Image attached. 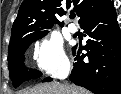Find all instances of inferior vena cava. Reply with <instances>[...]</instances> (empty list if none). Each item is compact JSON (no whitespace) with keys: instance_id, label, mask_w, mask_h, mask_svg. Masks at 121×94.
Wrapping results in <instances>:
<instances>
[{"instance_id":"obj_1","label":"inferior vena cava","mask_w":121,"mask_h":94,"mask_svg":"<svg viewBox=\"0 0 121 94\" xmlns=\"http://www.w3.org/2000/svg\"><path fill=\"white\" fill-rule=\"evenodd\" d=\"M69 70H70V68L68 67V68L66 69L65 77H67V76H68V74H69Z\"/></svg>"}]
</instances>
